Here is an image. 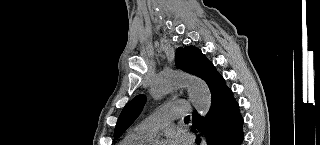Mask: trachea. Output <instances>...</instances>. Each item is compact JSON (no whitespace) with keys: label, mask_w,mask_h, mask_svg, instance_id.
<instances>
[{"label":"trachea","mask_w":320,"mask_h":145,"mask_svg":"<svg viewBox=\"0 0 320 145\" xmlns=\"http://www.w3.org/2000/svg\"><path fill=\"white\" fill-rule=\"evenodd\" d=\"M184 119H185V120H189V119H190V116L188 115V116H186Z\"/></svg>","instance_id":"trachea-1"}]
</instances>
